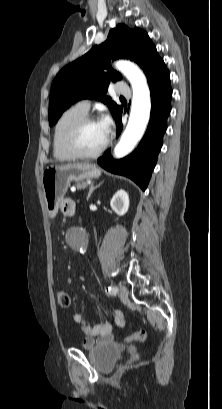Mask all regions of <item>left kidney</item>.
<instances>
[{"label":"left kidney","mask_w":222,"mask_h":409,"mask_svg":"<svg viewBox=\"0 0 222 409\" xmlns=\"http://www.w3.org/2000/svg\"><path fill=\"white\" fill-rule=\"evenodd\" d=\"M110 206L117 215H125L129 208L128 194L124 190H118L111 199Z\"/></svg>","instance_id":"left-kidney-1"}]
</instances>
